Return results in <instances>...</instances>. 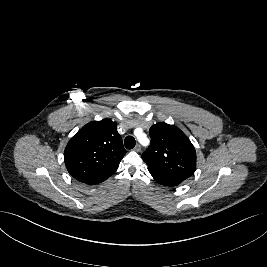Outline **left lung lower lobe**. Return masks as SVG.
<instances>
[{
	"label": "left lung lower lobe",
	"instance_id": "1",
	"mask_svg": "<svg viewBox=\"0 0 267 267\" xmlns=\"http://www.w3.org/2000/svg\"><path fill=\"white\" fill-rule=\"evenodd\" d=\"M151 175L153 176L154 180L164 186H176L179 185L182 181L180 180H176V179H172V178H167V177H162L160 175H156L151 173Z\"/></svg>",
	"mask_w": 267,
	"mask_h": 267
}]
</instances>
